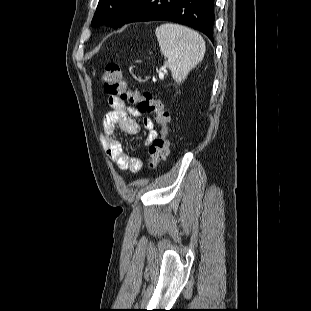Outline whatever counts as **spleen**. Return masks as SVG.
<instances>
[{"mask_svg":"<svg viewBox=\"0 0 311 311\" xmlns=\"http://www.w3.org/2000/svg\"><path fill=\"white\" fill-rule=\"evenodd\" d=\"M160 50L167 59L172 77L180 84L189 72L202 61L205 42L196 31L173 23H165L155 31Z\"/></svg>","mask_w":311,"mask_h":311,"instance_id":"spleen-1","label":"spleen"}]
</instances>
